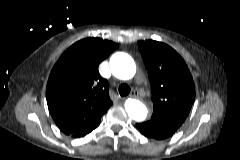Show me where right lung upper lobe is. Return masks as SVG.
Instances as JSON below:
<instances>
[{
    "label": "right lung upper lobe",
    "instance_id": "right-lung-upper-lobe-1",
    "mask_svg": "<svg viewBox=\"0 0 240 160\" xmlns=\"http://www.w3.org/2000/svg\"><path fill=\"white\" fill-rule=\"evenodd\" d=\"M118 44L100 38L74 43L54 65L46 87L50 114L66 135L100 121L112 105L99 64Z\"/></svg>",
    "mask_w": 240,
    "mask_h": 160
}]
</instances>
